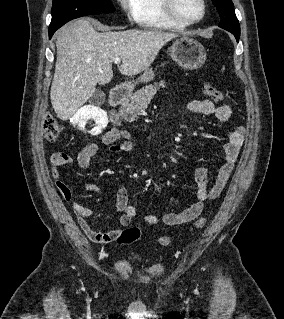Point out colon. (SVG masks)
I'll return each mask as SVG.
<instances>
[{"instance_id":"1","label":"colon","mask_w":284,"mask_h":319,"mask_svg":"<svg viewBox=\"0 0 284 319\" xmlns=\"http://www.w3.org/2000/svg\"><path fill=\"white\" fill-rule=\"evenodd\" d=\"M203 93L214 101H221L223 99V93L215 86L211 84H205L203 88ZM61 132V126L58 124L56 119L47 115L43 120V135L46 140L53 142L56 140ZM206 224V218H199L194 227L200 229ZM141 238V232L136 227H129L124 229L118 236L117 242L121 244H131L138 241ZM172 238L170 236H164L159 239V244L163 247L168 246L171 243Z\"/></svg>"}]
</instances>
